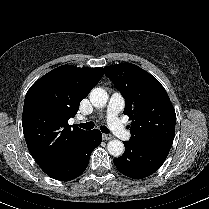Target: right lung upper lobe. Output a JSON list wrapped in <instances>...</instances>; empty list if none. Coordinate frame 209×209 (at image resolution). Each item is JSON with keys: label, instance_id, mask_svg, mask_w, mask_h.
<instances>
[{"label": "right lung upper lobe", "instance_id": "obj_1", "mask_svg": "<svg viewBox=\"0 0 209 209\" xmlns=\"http://www.w3.org/2000/svg\"><path fill=\"white\" fill-rule=\"evenodd\" d=\"M104 74L103 68L60 66L37 80L28 90L22 126L28 149L47 173L87 131L68 124L79 105Z\"/></svg>", "mask_w": 209, "mask_h": 209}]
</instances>
